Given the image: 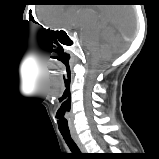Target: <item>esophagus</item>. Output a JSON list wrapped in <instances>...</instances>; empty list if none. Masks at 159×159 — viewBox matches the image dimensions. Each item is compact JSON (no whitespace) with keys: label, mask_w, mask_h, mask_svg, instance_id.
<instances>
[{"label":"esophagus","mask_w":159,"mask_h":159,"mask_svg":"<svg viewBox=\"0 0 159 159\" xmlns=\"http://www.w3.org/2000/svg\"><path fill=\"white\" fill-rule=\"evenodd\" d=\"M72 138H73L74 142L76 143V145L78 146L79 150L82 153H86V149H85L84 145L82 144V142L80 141L79 137L76 134H72Z\"/></svg>","instance_id":"34e87169"}]
</instances>
